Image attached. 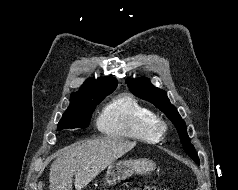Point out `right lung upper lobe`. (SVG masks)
I'll return each instance as SVG.
<instances>
[{"instance_id": "obj_1", "label": "right lung upper lobe", "mask_w": 238, "mask_h": 190, "mask_svg": "<svg viewBox=\"0 0 238 190\" xmlns=\"http://www.w3.org/2000/svg\"><path fill=\"white\" fill-rule=\"evenodd\" d=\"M116 86L117 81L113 77H104L97 80L88 79L84 82L78 92H73L71 94L69 107L78 105L83 98L111 93L115 90Z\"/></svg>"}]
</instances>
